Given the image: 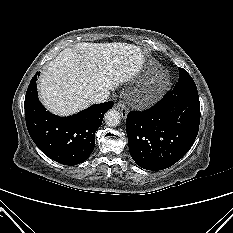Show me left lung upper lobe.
<instances>
[{
    "label": "left lung upper lobe",
    "mask_w": 233,
    "mask_h": 233,
    "mask_svg": "<svg viewBox=\"0 0 233 233\" xmlns=\"http://www.w3.org/2000/svg\"><path fill=\"white\" fill-rule=\"evenodd\" d=\"M172 92L175 95H182L189 92H197V88L192 77L185 69L179 68V80L174 86Z\"/></svg>",
    "instance_id": "obj_1"
}]
</instances>
